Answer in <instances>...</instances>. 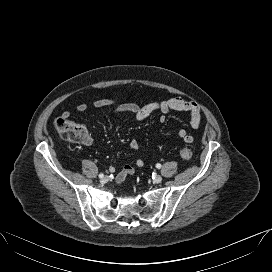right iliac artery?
<instances>
[{"mask_svg":"<svg viewBox=\"0 0 272 272\" xmlns=\"http://www.w3.org/2000/svg\"><path fill=\"white\" fill-rule=\"evenodd\" d=\"M99 177H100V178H103V177H104V175H103L102 173H100V174H99Z\"/></svg>","mask_w":272,"mask_h":272,"instance_id":"82829eb1","label":"right iliac artery"}]
</instances>
